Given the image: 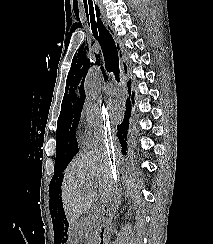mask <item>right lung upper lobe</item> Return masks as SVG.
I'll return each instance as SVG.
<instances>
[{
	"instance_id": "right-lung-upper-lobe-1",
	"label": "right lung upper lobe",
	"mask_w": 213,
	"mask_h": 244,
	"mask_svg": "<svg viewBox=\"0 0 213 244\" xmlns=\"http://www.w3.org/2000/svg\"><path fill=\"white\" fill-rule=\"evenodd\" d=\"M88 68L89 61H84V58L78 60L76 65L74 64L71 66L67 77L68 89L65 90V95L61 105V113L70 109L83 107L85 99L84 79Z\"/></svg>"
}]
</instances>
